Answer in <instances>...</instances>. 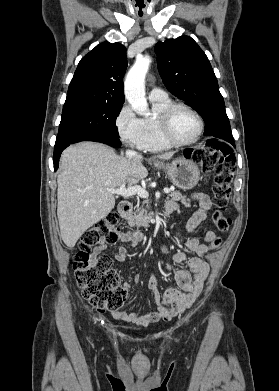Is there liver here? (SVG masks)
I'll use <instances>...</instances> for the list:
<instances>
[{"instance_id": "obj_1", "label": "liver", "mask_w": 279, "mask_h": 391, "mask_svg": "<svg viewBox=\"0 0 279 391\" xmlns=\"http://www.w3.org/2000/svg\"><path fill=\"white\" fill-rule=\"evenodd\" d=\"M168 152L157 156L169 160ZM140 155L119 156L101 143L82 142L62 153L57 184V216L63 242L73 248L83 233L105 218L115 206L107 188L136 184L147 177Z\"/></svg>"}]
</instances>
